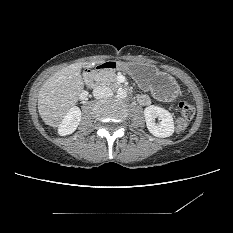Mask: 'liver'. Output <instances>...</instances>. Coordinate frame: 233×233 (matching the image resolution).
Instances as JSON below:
<instances>
[{
	"mask_svg": "<svg viewBox=\"0 0 233 233\" xmlns=\"http://www.w3.org/2000/svg\"><path fill=\"white\" fill-rule=\"evenodd\" d=\"M85 65L74 63L64 67L42 85L38 94V111L47 125L58 127L69 110L77 104L79 95L84 89L80 73Z\"/></svg>",
	"mask_w": 233,
	"mask_h": 233,
	"instance_id": "liver-1",
	"label": "liver"
}]
</instances>
